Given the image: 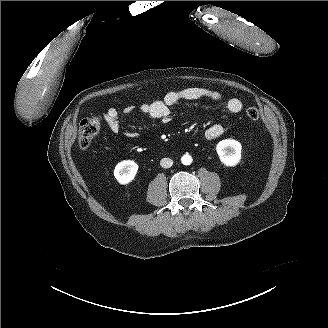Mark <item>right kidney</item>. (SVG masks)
<instances>
[{"instance_id":"1","label":"right kidney","mask_w":328,"mask_h":328,"mask_svg":"<svg viewBox=\"0 0 328 328\" xmlns=\"http://www.w3.org/2000/svg\"><path fill=\"white\" fill-rule=\"evenodd\" d=\"M137 170L138 165L134 161H122L116 165L114 176L121 184H127L134 179Z\"/></svg>"}]
</instances>
